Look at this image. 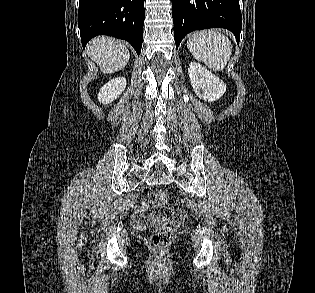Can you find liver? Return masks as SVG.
I'll return each instance as SVG.
<instances>
[{
	"label": "liver",
	"instance_id": "1",
	"mask_svg": "<svg viewBox=\"0 0 315 293\" xmlns=\"http://www.w3.org/2000/svg\"><path fill=\"white\" fill-rule=\"evenodd\" d=\"M87 53L103 73H114L123 69L130 58L127 47L111 37H96L87 45Z\"/></svg>",
	"mask_w": 315,
	"mask_h": 293
}]
</instances>
